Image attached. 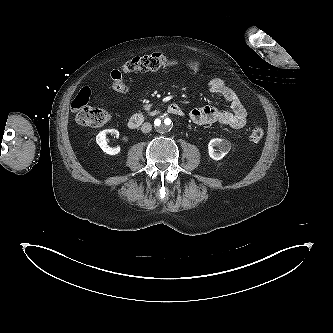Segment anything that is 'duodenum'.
Wrapping results in <instances>:
<instances>
[{"mask_svg":"<svg viewBox=\"0 0 333 333\" xmlns=\"http://www.w3.org/2000/svg\"><path fill=\"white\" fill-rule=\"evenodd\" d=\"M166 112L176 116H183L184 111L181 106L177 103H171L166 107ZM159 111H150L148 113H135L128 120V126L131 129H136L140 127L145 121L147 116H155Z\"/></svg>","mask_w":333,"mask_h":333,"instance_id":"duodenum-1","label":"duodenum"}]
</instances>
